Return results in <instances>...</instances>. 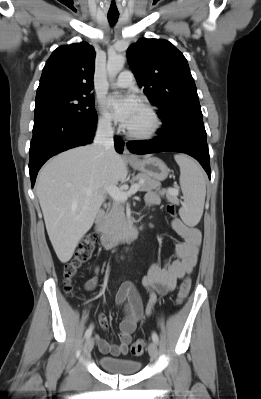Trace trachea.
<instances>
[{"label":"trachea","instance_id":"1","mask_svg":"<svg viewBox=\"0 0 261 399\" xmlns=\"http://www.w3.org/2000/svg\"><path fill=\"white\" fill-rule=\"evenodd\" d=\"M107 17H108L109 23L111 25H114L117 22V20H118L119 14H109L108 13Z\"/></svg>","mask_w":261,"mask_h":399}]
</instances>
